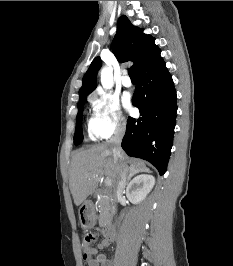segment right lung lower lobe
I'll return each mask as SVG.
<instances>
[{
    "label": "right lung lower lobe",
    "instance_id": "obj_1",
    "mask_svg": "<svg viewBox=\"0 0 233 266\" xmlns=\"http://www.w3.org/2000/svg\"><path fill=\"white\" fill-rule=\"evenodd\" d=\"M133 104L140 118L129 117L122 148L132 157L151 162L163 175L171 153L177 113L176 91L159 55L136 73Z\"/></svg>",
    "mask_w": 233,
    "mask_h": 266
}]
</instances>
